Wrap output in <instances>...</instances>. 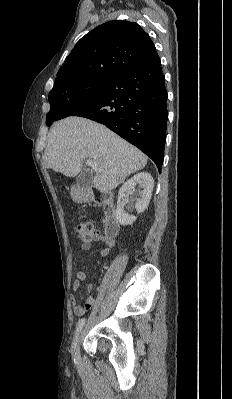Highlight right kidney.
<instances>
[{"instance_id":"right-kidney-1","label":"right kidney","mask_w":232,"mask_h":399,"mask_svg":"<svg viewBox=\"0 0 232 399\" xmlns=\"http://www.w3.org/2000/svg\"><path fill=\"white\" fill-rule=\"evenodd\" d=\"M153 188L154 180L148 172H139V174H135L133 178H130V180H127V182L123 184L122 188L119 190L116 207V217L121 225H128V223H133L136 219V215H130V213L124 211L121 200L132 196L135 200V209L137 213H142V211H145L148 207Z\"/></svg>"}]
</instances>
